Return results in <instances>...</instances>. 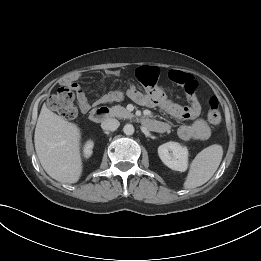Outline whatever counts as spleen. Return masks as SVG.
Returning <instances> with one entry per match:
<instances>
[{"mask_svg":"<svg viewBox=\"0 0 261 261\" xmlns=\"http://www.w3.org/2000/svg\"><path fill=\"white\" fill-rule=\"evenodd\" d=\"M223 156L221 145L213 144L199 152L190 164L184 182L185 189H193L205 184L216 172Z\"/></svg>","mask_w":261,"mask_h":261,"instance_id":"obj_1","label":"spleen"}]
</instances>
